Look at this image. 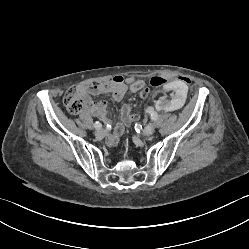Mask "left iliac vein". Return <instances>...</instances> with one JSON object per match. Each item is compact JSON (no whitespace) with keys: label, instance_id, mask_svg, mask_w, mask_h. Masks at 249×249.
Masks as SVG:
<instances>
[{"label":"left iliac vein","instance_id":"1","mask_svg":"<svg viewBox=\"0 0 249 249\" xmlns=\"http://www.w3.org/2000/svg\"><path fill=\"white\" fill-rule=\"evenodd\" d=\"M154 130H155V125L154 123H149L145 126V128L143 129L142 131V134L144 136H150L154 133Z\"/></svg>","mask_w":249,"mask_h":249}]
</instances>
